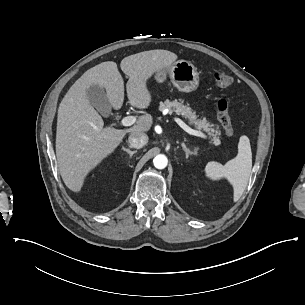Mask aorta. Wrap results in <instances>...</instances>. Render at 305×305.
<instances>
[{"label":"aorta","mask_w":305,"mask_h":305,"mask_svg":"<svg viewBox=\"0 0 305 305\" xmlns=\"http://www.w3.org/2000/svg\"><path fill=\"white\" fill-rule=\"evenodd\" d=\"M153 164L157 169H164L168 164V159L165 155L159 154L153 159Z\"/></svg>","instance_id":"762f6f07"}]
</instances>
